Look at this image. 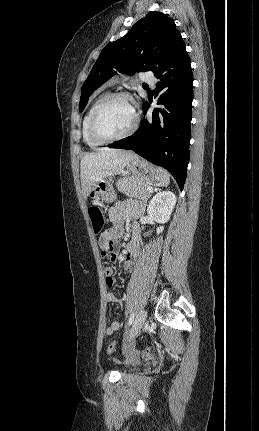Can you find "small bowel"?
<instances>
[{
	"label": "small bowel",
	"instance_id": "small-bowel-1",
	"mask_svg": "<svg viewBox=\"0 0 259 431\" xmlns=\"http://www.w3.org/2000/svg\"><path fill=\"white\" fill-rule=\"evenodd\" d=\"M140 211V207H127L123 204H118L115 207L111 208L108 213L109 221L111 223V228L106 230V236L113 240L119 238L123 234L124 223L128 219H130L134 214ZM140 251V234L136 224H133V238L127 245L126 251L122 256L123 267L126 272H132L134 267V262L136 257L139 255ZM105 273V285L108 288H112L115 285L114 277L112 275V269L106 267L104 269ZM106 299L109 303H115L122 305L124 300L114 294L113 292H109L106 295ZM119 323L112 322L105 330L107 335H112L114 332L119 330Z\"/></svg>",
	"mask_w": 259,
	"mask_h": 431
}]
</instances>
